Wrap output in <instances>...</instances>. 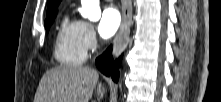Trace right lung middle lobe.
I'll use <instances>...</instances> for the list:
<instances>
[{
  "label": "right lung middle lobe",
  "mask_w": 221,
  "mask_h": 102,
  "mask_svg": "<svg viewBox=\"0 0 221 102\" xmlns=\"http://www.w3.org/2000/svg\"><path fill=\"white\" fill-rule=\"evenodd\" d=\"M56 13L51 14L50 16H47V19L45 20V27L46 30L48 31L50 25L52 24L53 20L55 19Z\"/></svg>",
  "instance_id": "1"
}]
</instances>
